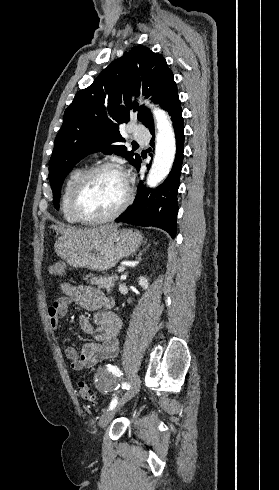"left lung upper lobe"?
<instances>
[{
	"label": "left lung upper lobe",
	"instance_id": "1",
	"mask_svg": "<svg viewBox=\"0 0 279 490\" xmlns=\"http://www.w3.org/2000/svg\"><path fill=\"white\" fill-rule=\"evenodd\" d=\"M140 92L146 97L152 96L164 109L178 96L166 60L144 46H134L125 52L89 87L77 92L65 110L49 162V181L56 209L64 178L88 154L103 150L105 154L121 155L135 166L140 161L139 155L117 145L124 142L119 124L127 122L132 111H137L138 120L146 127L153 123L149 110L138 107L136 102L126 101L128 96Z\"/></svg>",
	"mask_w": 279,
	"mask_h": 490
}]
</instances>
